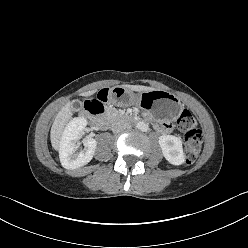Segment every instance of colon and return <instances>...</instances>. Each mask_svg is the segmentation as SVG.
<instances>
[{
  "label": "colon",
  "instance_id": "5ec220e1",
  "mask_svg": "<svg viewBox=\"0 0 248 248\" xmlns=\"http://www.w3.org/2000/svg\"><path fill=\"white\" fill-rule=\"evenodd\" d=\"M91 100L88 99L85 102V106ZM97 108L103 109V104L96 106ZM178 128L184 133L185 144H184V157L185 163H193L199 155L202 145V133L197 128V123L193 115L188 110H183L177 119Z\"/></svg>",
  "mask_w": 248,
  "mask_h": 248
}]
</instances>
